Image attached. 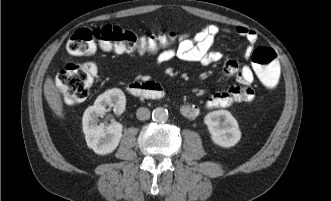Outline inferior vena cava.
<instances>
[{
    "instance_id": "1",
    "label": "inferior vena cava",
    "mask_w": 331,
    "mask_h": 201,
    "mask_svg": "<svg viewBox=\"0 0 331 201\" xmlns=\"http://www.w3.org/2000/svg\"><path fill=\"white\" fill-rule=\"evenodd\" d=\"M150 115L149 109L145 107H140L136 112V116L139 120H148Z\"/></svg>"
}]
</instances>
